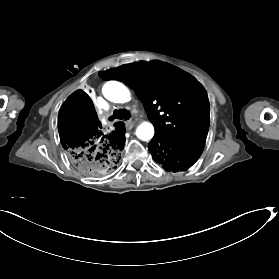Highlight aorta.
I'll list each match as a JSON object with an SVG mask.
<instances>
[{
    "label": "aorta",
    "mask_w": 279,
    "mask_h": 279,
    "mask_svg": "<svg viewBox=\"0 0 279 279\" xmlns=\"http://www.w3.org/2000/svg\"><path fill=\"white\" fill-rule=\"evenodd\" d=\"M103 95L106 99L114 103H125L130 101L129 89L118 81H108L102 88ZM136 136L148 141L154 136V126L150 122L141 123L136 129Z\"/></svg>",
    "instance_id": "762f6f07"
}]
</instances>
